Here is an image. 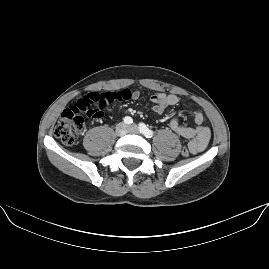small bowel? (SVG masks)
I'll use <instances>...</instances> for the list:
<instances>
[{"label":"small bowel","mask_w":269,"mask_h":269,"mask_svg":"<svg viewBox=\"0 0 269 269\" xmlns=\"http://www.w3.org/2000/svg\"><path fill=\"white\" fill-rule=\"evenodd\" d=\"M141 98V92L133 91L130 94V99L139 100ZM179 98L172 93L154 92L150 97V106L152 111L161 114L166 108L174 106L178 103ZM194 126L184 127L180 125V118L175 116L171 118L169 127L179 136L188 139V148L194 155L203 152L210 141L211 132L210 129L205 126L204 115L200 111H196L193 115Z\"/></svg>","instance_id":"small-bowel-1"}]
</instances>
